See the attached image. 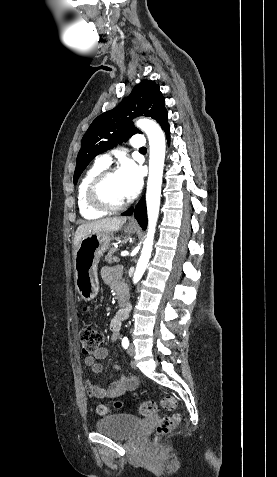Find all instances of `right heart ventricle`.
Here are the masks:
<instances>
[{"instance_id":"e07e8e85","label":"right heart ventricle","mask_w":277,"mask_h":477,"mask_svg":"<svg viewBox=\"0 0 277 477\" xmlns=\"http://www.w3.org/2000/svg\"><path fill=\"white\" fill-rule=\"evenodd\" d=\"M106 166L96 162L83 176L77 191V202L81 216L88 220H94L103 217L106 213L93 209L86 201V188L89 182Z\"/></svg>"}]
</instances>
